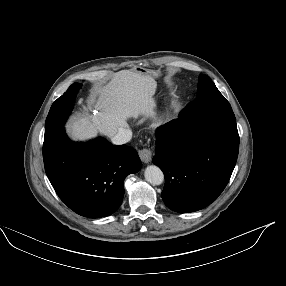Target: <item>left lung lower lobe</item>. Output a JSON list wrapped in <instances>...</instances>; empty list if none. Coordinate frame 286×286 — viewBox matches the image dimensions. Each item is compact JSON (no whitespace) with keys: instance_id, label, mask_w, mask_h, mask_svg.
I'll return each mask as SVG.
<instances>
[{"instance_id":"0a47b994","label":"left lung lower lobe","mask_w":286,"mask_h":286,"mask_svg":"<svg viewBox=\"0 0 286 286\" xmlns=\"http://www.w3.org/2000/svg\"><path fill=\"white\" fill-rule=\"evenodd\" d=\"M153 163L165 175L162 199L179 213L200 210L221 194L236 164V121L179 118L157 130Z\"/></svg>"}]
</instances>
